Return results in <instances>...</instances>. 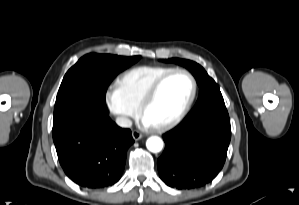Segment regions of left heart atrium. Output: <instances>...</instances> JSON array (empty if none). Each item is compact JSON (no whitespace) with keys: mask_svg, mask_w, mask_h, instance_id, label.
<instances>
[{"mask_svg":"<svg viewBox=\"0 0 299 205\" xmlns=\"http://www.w3.org/2000/svg\"><path fill=\"white\" fill-rule=\"evenodd\" d=\"M143 124H144L145 126H150V123H149L147 120H145V119H143Z\"/></svg>","mask_w":299,"mask_h":205,"instance_id":"obj_1","label":"left heart atrium"}]
</instances>
